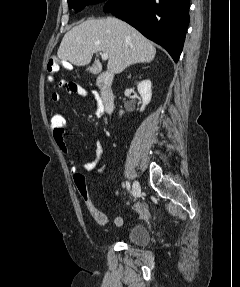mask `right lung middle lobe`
I'll return each instance as SVG.
<instances>
[{
	"instance_id": "1",
	"label": "right lung middle lobe",
	"mask_w": 240,
	"mask_h": 287,
	"mask_svg": "<svg viewBox=\"0 0 240 287\" xmlns=\"http://www.w3.org/2000/svg\"><path fill=\"white\" fill-rule=\"evenodd\" d=\"M106 0H68L69 8H74L76 11L82 10L88 4L104 2Z\"/></svg>"
}]
</instances>
